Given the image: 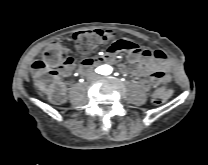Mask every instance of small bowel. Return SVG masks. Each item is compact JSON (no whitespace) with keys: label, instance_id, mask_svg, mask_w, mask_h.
I'll return each mask as SVG.
<instances>
[{"label":"small bowel","instance_id":"small-bowel-1","mask_svg":"<svg viewBox=\"0 0 208 165\" xmlns=\"http://www.w3.org/2000/svg\"><path fill=\"white\" fill-rule=\"evenodd\" d=\"M104 33L106 39L102 42L112 40L116 36V33L112 30H105ZM122 52L127 54L128 64L120 63L118 65L119 70L123 73H130L139 78L147 88L166 83L170 80L171 63L163 51L141 49L137 43L131 40L117 39L107 48L104 54V59L113 61L115 57ZM102 62V56H86L77 58V63L79 65L88 68L93 65L101 64ZM72 66L66 69H61L60 74L63 77H68ZM55 101L61 103L63 99Z\"/></svg>","mask_w":208,"mask_h":165}]
</instances>
